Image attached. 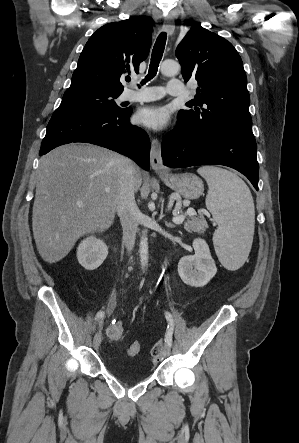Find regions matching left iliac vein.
Wrapping results in <instances>:
<instances>
[{"label":"left iliac vein","mask_w":299,"mask_h":443,"mask_svg":"<svg viewBox=\"0 0 299 443\" xmlns=\"http://www.w3.org/2000/svg\"><path fill=\"white\" fill-rule=\"evenodd\" d=\"M163 354L164 356H169L171 354V348L168 344L165 345L164 350H163Z\"/></svg>","instance_id":"4c4485c4"}]
</instances>
